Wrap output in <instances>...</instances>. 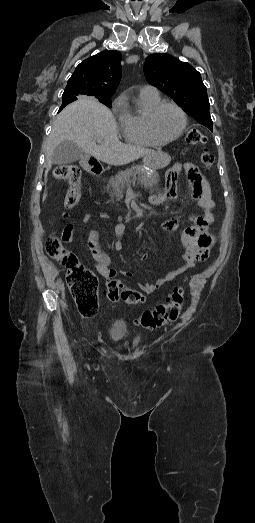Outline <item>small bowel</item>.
<instances>
[{"instance_id": "small-bowel-1", "label": "small bowel", "mask_w": 255, "mask_h": 523, "mask_svg": "<svg viewBox=\"0 0 255 523\" xmlns=\"http://www.w3.org/2000/svg\"><path fill=\"white\" fill-rule=\"evenodd\" d=\"M187 177L190 182L191 194L198 202L202 214L198 216H191L189 219L192 222L191 226L183 229L181 234V241L185 248L183 254L184 263L178 267H175L168 271L166 274L158 278L153 283H142L139 284V288L146 294H151L160 289L166 283L173 281L179 275L186 270L194 267L198 261H204L210 254L211 247L214 243V236L210 232V225L215 222V215L213 212L214 202L212 199V193L209 183L199 171L198 167L193 163H186L183 166ZM175 188L171 187L169 190V198H174ZM165 200L162 195H155L151 198V203L158 205ZM100 218L106 219L108 216L105 213L99 215ZM92 220L91 214H86L83 218L85 223H89ZM180 225L179 219H169L161 224V228L164 231L171 232L178 229ZM126 226L122 219H119L118 224L114 227V249L121 251L123 249L122 237L125 232ZM73 239V225L68 224L62 233V240L70 243ZM90 250L95 261V267L98 273L103 278H111L116 275V271L111 268L110 257L100 248L98 242V234L93 231L89 240ZM148 258V254L144 253L141 256V260ZM121 274L127 278L132 277V273L129 271L122 270Z\"/></svg>"}]
</instances>
